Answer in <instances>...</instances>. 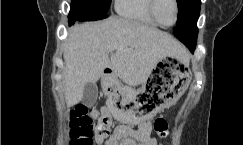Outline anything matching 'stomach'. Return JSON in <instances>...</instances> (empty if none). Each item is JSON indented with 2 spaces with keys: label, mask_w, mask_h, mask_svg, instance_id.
Instances as JSON below:
<instances>
[{
  "label": "stomach",
  "mask_w": 243,
  "mask_h": 145,
  "mask_svg": "<svg viewBox=\"0 0 243 145\" xmlns=\"http://www.w3.org/2000/svg\"><path fill=\"white\" fill-rule=\"evenodd\" d=\"M190 81L188 60L171 57L160 60L154 66L138 93H126L110 78H105L102 85L109 97L112 116L123 123L134 124L156 116L161 109L174 104Z\"/></svg>",
  "instance_id": "0dacf381"
}]
</instances>
